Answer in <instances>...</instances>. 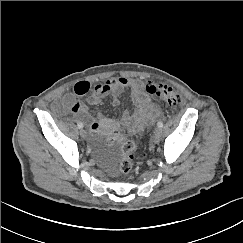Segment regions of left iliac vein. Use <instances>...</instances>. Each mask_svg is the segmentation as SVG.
<instances>
[{
	"mask_svg": "<svg viewBox=\"0 0 243 243\" xmlns=\"http://www.w3.org/2000/svg\"><path fill=\"white\" fill-rule=\"evenodd\" d=\"M162 134V130L160 128H156L152 137L154 142H158L160 140Z\"/></svg>",
	"mask_w": 243,
	"mask_h": 243,
	"instance_id": "obj_1",
	"label": "left iliac vein"
}]
</instances>
